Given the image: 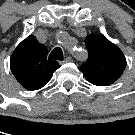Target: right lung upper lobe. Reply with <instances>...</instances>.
Here are the masks:
<instances>
[{
  "mask_svg": "<svg viewBox=\"0 0 135 135\" xmlns=\"http://www.w3.org/2000/svg\"><path fill=\"white\" fill-rule=\"evenodd\" d=\"M47 48L30 35L14 50L11 60V71L25 89L37 90L51 78L60 67L56 61L47 59Z\"/></svg>",
  "mask_w": 135,
  "mask_h": 135,
  "instance_id": "obj_1",
  "label": "right lung upper lobe"
}]
</instances>
